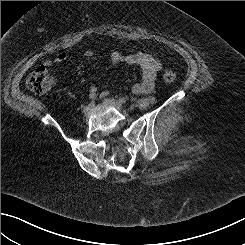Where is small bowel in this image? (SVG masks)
Wrapping results in <instances>:
<instances>
[{"mask_svg": "<svg viewBox=\"0 0 245 245\" xmlns=\"http://www.w3.org/2000/svg\"><path fill=\"white\" fill-rule=\"evenodd\" d=\"M89 57L92 52H87ZM67 58L65 52L58 53L53 59L46 60L44 62L45 67H51L55 64L62 63ZM110 61L113 65L125 64L139 66L142 71V78L140 82L134 84L131 88L134 94H147L150 93L155 86L158 72L161 70L162 65L158 59L150 54L143 52H136L131 54H122L114 51L110 54ZM109 94V91H103L98 93L97 87L92 85L89 89V95L91 98H103Z\"/></svg>", "mask_w": 245, "mask_h": 245, "instance_id": "1", "label": "small bowel"}]
</instances>
